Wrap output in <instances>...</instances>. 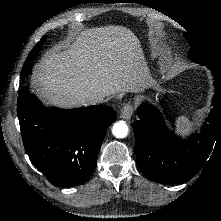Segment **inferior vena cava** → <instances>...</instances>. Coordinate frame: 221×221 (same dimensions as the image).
Instances as JSON below:
<instances>
[{"label":"inferior vena cava","mask_w":221,"mask_h":221,"mask_svg":"<svg viewBox=\"0 0 221 221\" xmlns=\"http://www.w3.org/2000/svg\"><path fill=\"white\" fill-rule=\"evenodd\" d=\"M105 95L103 94H91L89 96L86 97V100L89 103H98V102H102L104 100Z\"/></svg>","instance_id":"obj_1"}]
</instances>
